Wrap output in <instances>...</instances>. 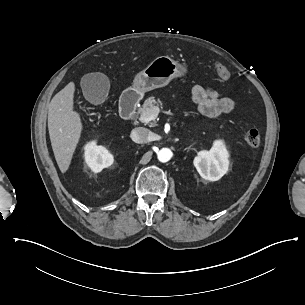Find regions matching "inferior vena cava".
<instances>
[{
    "label": "inferior vena cava",
    "instance_id": "inferior-vena-cava-1",
    "mask_svg": "<svg viewBox=\"0 0 305 305\" xmlns=\"http://www.w3.org/2000/svg\"><path fill=\"white\" fill-rule=\"evenodd\" d=\"M150 131L143 127H137L133 129L131 133V138L135 143L143 144L148 142V137L150 136Z\"/></svg>",
    "mask_w": 305,
    "mask_h": 305
}]
</instances>
